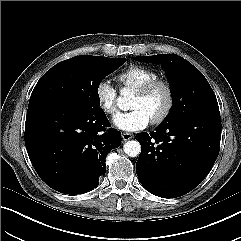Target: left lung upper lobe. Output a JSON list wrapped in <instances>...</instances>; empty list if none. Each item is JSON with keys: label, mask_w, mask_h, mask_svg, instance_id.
<instances>
[{"label": "left lung upper lobe", "mask_w": 241, "mask_h": 241, "mask_svg": "<svg viewBox=\"0 0 241 241\" xmlns=\"http://www.w3.org/2000/svg\"><path fill=\"white\" fill-rule=\"evenodd\" d=\"M142 62L161 63L172 91L173 106L161 124L194 114L220 115L217 99L204 75L176 54L134 57Z\"/></svg>", "instance_id": "left-lung-upper-lobe-1"}]
</instances>
